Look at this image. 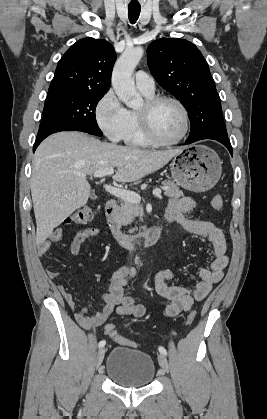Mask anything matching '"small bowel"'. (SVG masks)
Returning <instances> with one entry per match:
<instances>
[{
    "label": "small bowel",
    "mask_w": 267,
    "mask_h": 419,
    "mask_svg": "<svg viewBox=\"0 0 267 419\" xmlns=\"http://www.w3.org/2000/svg\"><path fill=\"white\" fill-rule=\"evenodd\" d=\"M197 207L196 202L190 197L174 198L169 202L165 212V219L168 222L180 224L186 231L207 238L213 247V260L208 267L200 270L201 281L194 289L180 285L177 282L175 269L159 271L154 278V285L157 294L168 299L169 305L163 311L165 317H172L181 312L189 311L194 301L203 300L211 291L212 287L219 283L224 276V269L227 267L229 258L227 246L222 231L208 220H193L186 215ZM100 233L97 227H87L78 231L71 243L70 252L77 254L82 244L89 238ZM63 228L55 229L47 240L38 245L39 256L43 255L53 243L61 240ZM50 278L54 279L58 273L47 270ZM136 275L133 267L123 266L107 277L104 282L108 287L107 292L99 295L103 301V307L94 316L87 315V307L77 306L72 294L62 284H57V290L67 305L74 310L75 319L85 329H91L102 325L112 313L119 315H130L140 318L145 315L146 308L135 303L132 297L125 295L124 287L128 280ZM172 282L171 285L168 282Z\"/></svg>",
    "instance_id": "c3829d8e"
}]
</instances>
